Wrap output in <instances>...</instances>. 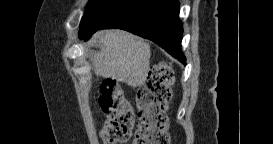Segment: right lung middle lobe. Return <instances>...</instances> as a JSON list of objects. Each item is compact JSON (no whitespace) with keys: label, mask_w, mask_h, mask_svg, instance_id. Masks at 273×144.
I'll return each mask as SVG.
<instances>
[{"label":"right lung middle lobe","mask_w":273,"mask_h":144,"mask_svg":"<svg viewBox=\"0 0 273 144\" xmlns=\"http://www.w3.org/2000/svg\"><path fill=\"white\" fill-rule=\"evenodd\" d=\"M116 0H89L87 11L80 23L79 38L88 34L102 12Z\"/></svg>","instance_id":"obj_1"}]
</instances>
